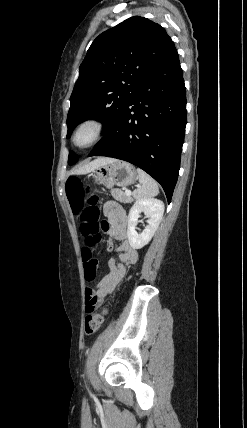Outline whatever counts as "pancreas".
Listing matches in <instances>:
<instances>
[{
	"mask_svg": "<svg viewBox=\"0 0 247 428\" xmlns=\"http://www.w3.org/2000/svg\"><path fill=\"white\" fill-rule=\"evenodd\" d=\"M111 194L113 198L122 203H132L133 198L126 195L121 189H111Z\"/></svg>",
	"mask_w": 247,
	"mask_h": 428,
	"instance_id": "pancreas-1",
	"label": "pancreas"
}]
</instances>
